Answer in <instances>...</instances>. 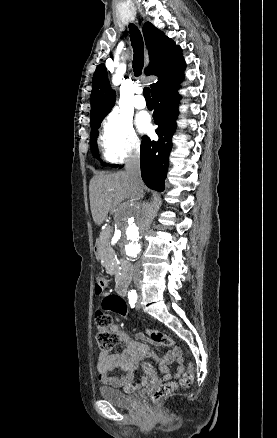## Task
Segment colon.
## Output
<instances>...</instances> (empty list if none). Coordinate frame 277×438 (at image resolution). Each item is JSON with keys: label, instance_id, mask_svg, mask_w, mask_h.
Segmentation results:
<instances>
[{"label": "colon", "instance_id": "1", "mask_svg": "<svg viewBox=\"0 0 277 438\" xmlns=\"http://www.w3.org/2000/svg\"><path fill=\"white\" fill-rule=\"evenodd\" d=\"M95 287L94 293L96 296H101L108 288L109 282L104 276V274L97 272L95 273ZM112 322V317L107 312L96 311L94 315V323L95 327L98 329L96 334V343L100 351L102 352H110L114 349V347L118 343V335L107 330ZM146 334L149 336V339L159 345L173 346L174 340L164 335L162 332L158 330H148ZM193 382V372L188 370L184 372L179 379L177 380H166L164 386L161 389H150L149 390V399L151 402L149 406L154 408L156 406L155 402H162L166 396H169L173 393L178 387H188Z\"/></svg>", "mask_w": 277, "mask_h": 438}]
</instances>
